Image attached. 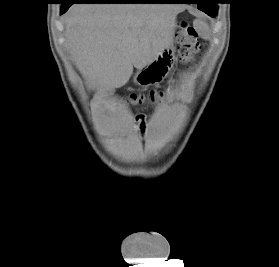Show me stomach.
<instances>
[{
  "instance_id": "obj_1",
  "label": "stomach",
  "mask_w": 279,
  "mask_h": 267,
  "mask_svg": "<svg viewBox=\"0 0 279 267\" xmlns=\"http://www.w3.org/2000/svg\"><path fill=\"white\" fill-rule=\"evenodd\" d=\"M174 62V47L173 44H171L146 66L138 69L133 77V81L141 87H149L158 84L168 76Z\"/></svg>"
}]
</instances>
